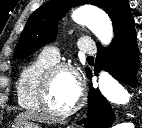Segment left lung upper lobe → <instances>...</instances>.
Returning a JSON list of instances; mask_svg holds the SVG:
<instances>
[{"label": "left lung upper lobe", "instance_id": "left-lung-upper-lobe-1", "mask_svg": "<svg viewBox=\"0 0 142 128\" xmlns=\"http://www.w3.org/2000/svg\"><path fill=\"white\" fill-rule=\"evenodd\" d=\"M83 4L95 5L108 13L112 20L114 37L134 22L127 0H51L29 17L19 39L15 57L26 58L42 45L53 41L57 35L58 20L72 6Z\"/></svg>", "mask_w": 142, "mask_h": 128}]
</instances>
